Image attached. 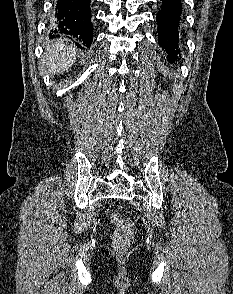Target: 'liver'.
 <instances>
[{"mask_svg": "<svg viewBox=\"0 0 233 294\" xmlns=\"http://www.w3.org/2000/svg\"><path fill=\"white\" fill-rule=\"evenodd\" d=\"M75 60V48L65 47L62 42L52 41L46 45L41 63L48 67L51 74H60L67 71L75 63Z\"/></svg>", "mask_w": 233, "mask_h": 294, "instance_id": "liver-1", "label": "liver"}]
</instances>
